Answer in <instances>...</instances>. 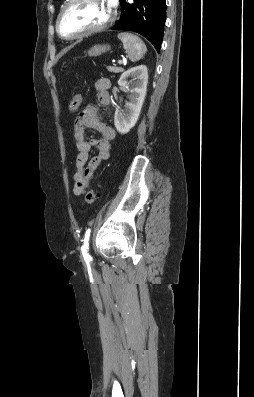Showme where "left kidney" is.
Segmentation results:
<instances>
[{
	"label": "left kidney",
	"mask_w": 254,
	"mask_h": 397,
	"mask_svg": "<svg viewBox=\"0 0 254 397\" xmlns=\"http://www.w3.org/2000/svg\"><path fill=\"white\" fill-rule=\"evenodd\" d=\"M128 78H132V88L130 89L129 102L126 103V110L123 112L120 109H116L114 115V125L121 134L128 133L139 118L147 91V67L139 65L125 71L118 80V85L125 87L128 83Z\"/></svg>",
	"instance_id": "obj_1"
}]
</instances>
